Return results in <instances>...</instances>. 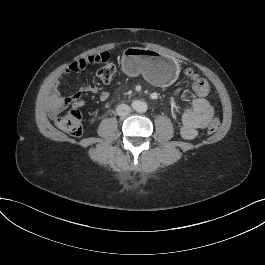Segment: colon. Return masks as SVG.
Wrapping results in <instances>:
<instances>
[{
  "instance_id": "colon-1",
  "label": "colon",
  "mask_w": 265,
  "mask_h": 265,
  "mask_svg": "<svg viewBox=\"0 0 265 265\" xmlns=\"http://www.w3.org/2000/svg\"><path fill=\"white\" fill-rule=\"evenodd\" d=\"M101 65L98 70V77L105 83L109 82L115 73V63L110 59L106 52L98 53L86 58H82L69 66L67 73H75L88 66ZM185 75L193 81V91L197 96H206L210 91L208 81L191 69L185 71ZM81 112L78 109H72L66 115L57 119V126L71 136L78 137L83 132L81 123ZM220 128V122L215 118L208 126L210 134L215 133Z\"/></svg>"
}]
</instances>
